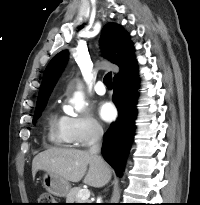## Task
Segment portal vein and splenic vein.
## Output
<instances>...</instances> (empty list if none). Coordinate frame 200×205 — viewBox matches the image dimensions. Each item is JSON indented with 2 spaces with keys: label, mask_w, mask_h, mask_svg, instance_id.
<instances>
[{
  "label": "portal vein and splenic vein",
  "mask_w": 200,
  "mask_h": 205,
  "mask_svg": "<svg viewBox=\"0 0 200 205\" xmlns=\"http://www.w3.org/2000/svg\"><path fill=\"white\" fill-rule=\"evenodd\" d=\"M77 197L81 200H88V198L90 197V191L88 189H81L78 192Z\"/></svg>",
  "instance_id": "portal-vein-and-splenic-vein-1"
}]
</instances>
